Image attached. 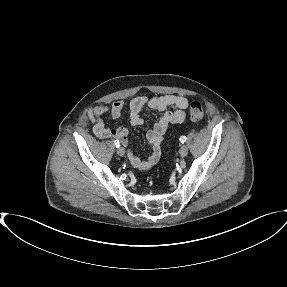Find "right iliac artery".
<instances>
[{"mask_svg":"<svg viewBox=\"0 0 287 287\" xmlns=\"http://www.w3.org/2000/svg\"><path fill=\"white\" fill-rule=\"evenodd\" d=\"M114 145H115L117 148H119V146H120L119 141H118V140H115V141H114Z\"/></svg>","mask_w":287,"mask_h":287,"instance_id":"82829eb1","label":"right iliac artery"}]
</instances>
